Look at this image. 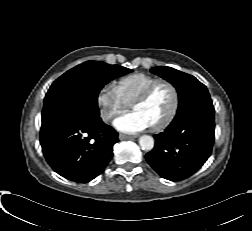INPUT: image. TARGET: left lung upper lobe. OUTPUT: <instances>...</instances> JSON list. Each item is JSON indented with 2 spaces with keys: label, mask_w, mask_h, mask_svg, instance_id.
I'll return each mask as SVG.
<instances>
[{
  "label": "left lung upper lobe",
  "mask_w": 252,
  "mask_h": 231,
  "mask_svg": "<svg viewBox=\"0 0 252 231\" xmlns=\"http://www.w3.org/2000/svg\"><path fill=\"white\" fill-rule=\"evenodd\" d=\"M151 72L167 79L175 86L179 95L178 111L195 103H212L206 86L194 76L164 66L153 67Z\"/></svg>",
  "instance_id": "obj_1"
}]
</instances>
